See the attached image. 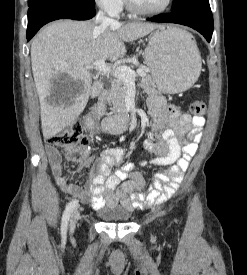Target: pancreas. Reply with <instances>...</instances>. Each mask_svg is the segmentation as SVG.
<instances>
[{"instance_id": "cf45deb5", "label": "pancreas", "mask_w": 247, "mask_h": 275, "mask_svg": "<svg viewBox=\"0 0 247 275\" xmlns=\"http://www.w3.org/2000/svg\"><path fill=\"white\" fill-rule=\"evenodd\" d=\"M140 87L147 94L157 93L154 80L149 74L142 76L140 80ZM129 84L122 80L116 79L112 82L111 90L106 98V101L111 105V110L115 113L124 114L127 117V111L125 106V98L127 96Z\"/></svg>"}]
</instances>
